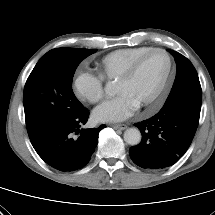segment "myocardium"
<instances>
[{
    "mask_svg": "<svg viewBox=\"0 0 215 215\" xmlns=\"http://www.w3.org/2000/svg\"><path fill=\"white\" fill-rule=\"evenodd\" d=\"M153 53H162L167 57L168 60V68L165 74V77L160 84L159 88L156 90V92L153 94V96L147 100L145 103L141 104L140 107H149L153 105L163 94L164 90L166 89L169 79L172 74L173 70V59L170 55V53L162 48H151L150 50L146 51L145 53L138 56L136 59H134L128 67L124 70V72L118 77L117 81H127L129 80L138 69L139 65L142 63V61L149 55Z\"/></svg>",
    "mask_w": 215,
    "mask_h": 215,
    "instance_id": "1",
    "label": "myocardium"
}]
</instances>
